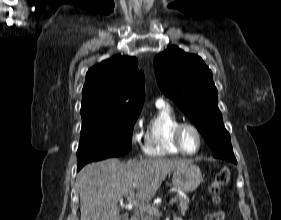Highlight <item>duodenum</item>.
<instances>
[{"mask_svg":"<svg viewBox=\"0 0 281 220\" xmlns=\"http://www.w3.org/2000/svg\"><path fill=\"white\" fill-rule=\"evenodd\" d=\"M130 220H138L137 218L133 217ZM176 220H181V219H176Z\"/></svg>","mask_w":281,"mask_h":220,"instance_id":"1","label":"duodenum"}]
</instances>
